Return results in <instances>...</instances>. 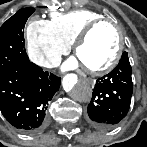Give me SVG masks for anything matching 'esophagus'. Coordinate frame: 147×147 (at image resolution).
Instances as JSON below:
<instances>
[{
	"label": "esophagus",
	"instance_id": "obj_1",
	"mask_svg": "<svg viewBox=\"0 0 147 147\" xmlns=\"http://www.w3.org/2000/svg\"><path fill=\"white\" fill-rule=\"evenodd\" d=\"M87 81H88V83H89L90 85L94 86V80L90 79V80H87Z\"/></svg>",
	"mask_w": 147,
	"mask_h": 147
}]
</instances>
